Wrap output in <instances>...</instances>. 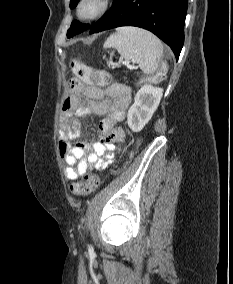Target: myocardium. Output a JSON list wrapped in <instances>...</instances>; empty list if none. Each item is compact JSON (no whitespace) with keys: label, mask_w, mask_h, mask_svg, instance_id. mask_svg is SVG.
<instances>
[{"label":"myocardium","mask_w":233,"mask_h":284,"mask_svg":"<svg viewBox=\"0 0 233 284\" xmlns=\"http://www.w3.org/2000/svg\"><path fill=\"white\" fill-rule=\"evenodd\" d=\"M109 0H79L76 6V15L84 21H93L103 15L109 8ZM91 5L92 9L86 11Z\"/></svg>","instance_id":"f54148a6"}]
</instances>
